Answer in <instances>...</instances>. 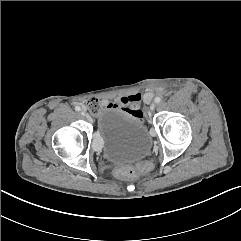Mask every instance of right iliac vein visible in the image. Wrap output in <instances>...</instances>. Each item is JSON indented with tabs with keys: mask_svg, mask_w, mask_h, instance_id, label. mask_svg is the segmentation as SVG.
<instances>
[{
	"mask_svg": "<svg viewBox=\"0 0 241 241\" xmlns=\"http://www.w3.org/2000/svg\"><path fill=\"white\" fill-rule=\"evenodd\" d=\"M81 114H82L83 116H87V113H86L85 111H82Z\"/></svg>",
	"mask_w": 241,
	"mask_h": 241,
	"instance_id": "obj_1",
	"label": "right iliac vein"
}]
</instances>
